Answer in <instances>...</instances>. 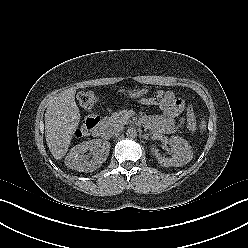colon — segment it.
<instances>
[{
    "instance_id": "obj_1",
    "label": "colon",
    "mask_w": 248,
    "mask_h": 248,
    "mask_svg": "<svg viewBox=\"0 0 248 248\" xmlns=\"http://www.w3.org/2000/svg\"><path fill=\"white\" fill-rule=\"evenodd\" d=\"M165 97L156 95L152 98V101L155 105L161 104L164 102ZM78 101L80 106L87 111V116L82 123V125L77 129L76 135L78 137H83L88 135L97 125L100 120V117L95 113V106L97 102V97L93 92H82L78 96ZM187 122L188 127L191 131L196 129V120L194 113L190 107L187 108Z\"/></svg>"
}]
</instances>
